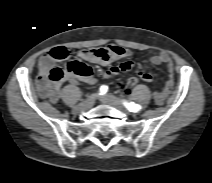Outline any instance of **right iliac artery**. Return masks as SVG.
I'll return each mask as SVG.
<instances>
[{"label": "right iliac artery", "mask_w": 212, "mask_h": 183, "mask_svg": "<svg viewBox=\"0 0 212 183\" xmlns=\"http://www.w3.org/2000/svg\"><path fill=\"white\" fill-rule=\"evenodd\" d=\"M107 90H108V87L105 85H102L99 90V95H104L107 92Z\"/></svg>", "instance_id": "right-iliac-artery-1"}]
</instances>
